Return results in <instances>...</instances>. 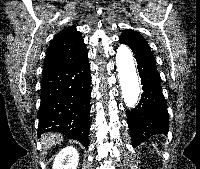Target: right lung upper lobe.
Masks as SVG:
<instances>
[{"label": "right lung upper lobe", "instance_id": "right-lung-upper-lobe-1", "mask_svg": "<svg viewBox=\"0 0 200 169\" xmlns=\"http://www.w3.org/2000/svg\"><path fill=\"white\" fill-rule=\"evenodd\" d=\"M86 51L83 38L75 26L67 27L51 41L43 72L71 64Z\"/></svg>", "mask_w": 200, "mask_h": 169}]
</instances>
